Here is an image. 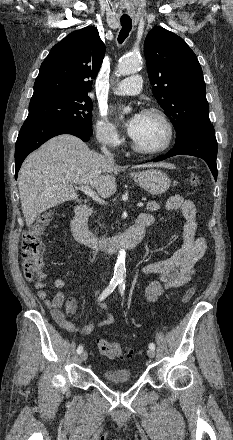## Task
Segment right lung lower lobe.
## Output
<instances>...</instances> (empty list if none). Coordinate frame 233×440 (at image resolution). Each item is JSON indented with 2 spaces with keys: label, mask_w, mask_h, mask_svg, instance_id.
I'll return each mask as SVG.
<instances>
[{
  "label": "right lung lower lobe",
  "mask_w": 233,
  "mask_h": 440,
  "mask_svg": "<svg viewBox=\"0 0 233 440\" xmlns=\"http://www.w3.org/2000/svg\"><path fill=\"white\" fill-rule=\"evenodd\" d=\"M60 134H72L83 141H89L91 137V135L73 124L44 119H26L19 132L15 146L16 179L26 156L50 138Z\"/></svg>",
  "instance_id": "1"
}]
</instances>
